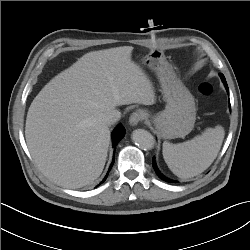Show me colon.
<instances>
[{"label":"colon","instance_id":"5ec220e1","mask_svg":"<svg viewBox=\"0 0 250 250\" xmlns=\"http://www.w3.org/2000/svg\"><path fill=\"white\" fill-rule=\"evenodd\" d=\"M199 92L202 96H209L213 92V87L210 83H202L199 86Z\"/></svg>","mask_w":250,"mask_h":250}]
</instances>
